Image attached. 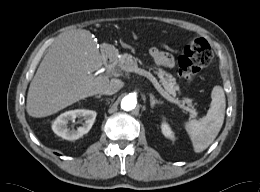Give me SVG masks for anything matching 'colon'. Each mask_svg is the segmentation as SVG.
I'll list each match as a JSON object with an SVG mask.
<instances>
[{"instance_id":"1","label":"colon","mask_w":260,"mask_h":192,"mask_svg":"<svg viewBox=\"0 0 260 192\" xmlns=\"http://www.w3.org/2000/svg\"><path fill=\"white\" fill-rule=\"evenodd\" d=\"M212 56L211 47L205 39H191L178 58L180 76L192 81L197 72L211 62Z\"/></svg>"}]
</instances>
